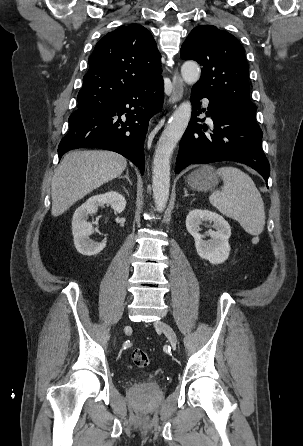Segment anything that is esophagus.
<instances>
[{"label": "esophagus", "instance_id": "34e87169", "mask_svg": "<svg viewBox=\"0 0 303 446\" xmlns=\"http://www.w3.org/2000/svg\"><path fill=\"white\" fill-rule=\"evenodd\" d=\"M184 94V83L178 72L175 71L173 75V89L171 97L168 100V104L172 105L179 102L183 98Z\"/></svg>", "mask_w": 303, "mask_h": 446}]
</instances>
